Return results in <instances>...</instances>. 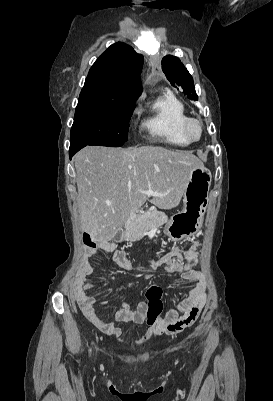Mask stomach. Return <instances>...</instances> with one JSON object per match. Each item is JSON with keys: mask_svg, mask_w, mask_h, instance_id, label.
<instances>
[{"mask_svg": "<svg viewBox=\"0 0 273 401\" xmlns=\"http://www.w3.org/2000/svg\"><path fill=\"white\" fill-rule=\"evenodd\" d=\"M212 174L204 164L189 170V180L183 194V211L173 215L165 225L164 233L172 241L190 239L202 227L209 205Z\"/></svg>", "mask_w": 273, "mask_h": 401, "instance_id": "0dacf381", "label": "stomach"}]
</instances>
